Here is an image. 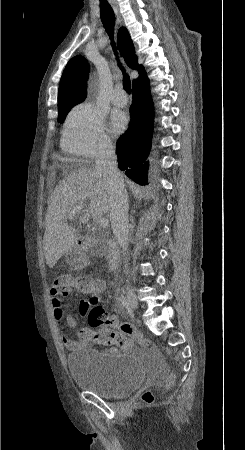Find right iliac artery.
<instances>
[{
  "instance_id": "right-iliac-artery-1",
  "label": "right iliac artery",
  "mask_w": 245,
  "mask_h": 450,
  "mask_svg": "<svg viewBox=\"0 0 245 450\" xmlns=\"http://www.w3.org/2000/svg\"><path fill=\"white\" fill-rule=\"evenodd\" d=\"M120 301H121V303H122L124 308H126V309L129 308V304H128V301H127L125 296L122 295L121 298H120Z\"/></svg>"
}]
</instances>
